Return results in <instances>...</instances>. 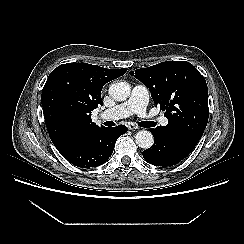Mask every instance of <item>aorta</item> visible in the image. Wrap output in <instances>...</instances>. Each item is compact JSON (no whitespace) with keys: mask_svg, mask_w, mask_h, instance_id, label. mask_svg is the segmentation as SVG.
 Instances as JSON below:
<instances>
[{"mask_svg":"<svg viewBox=\"0 0 244 244\" xmlns=\"http://www.w3.org/2000/svg\"><path fill=\"white\" fill-rule=\"evenodd\" d=\"M131 93V87L127 82L113 83L109 87V95L116 101H125ZM136 144L143 149L150 148L154 143L153 135L150 131L141 130L135 135Z\"/></svg>","mask_w":244,"mask_h":244,"instance_id":"aorta-1","label":"aorta"}]
</instances>
